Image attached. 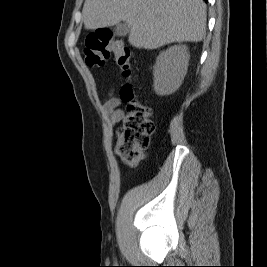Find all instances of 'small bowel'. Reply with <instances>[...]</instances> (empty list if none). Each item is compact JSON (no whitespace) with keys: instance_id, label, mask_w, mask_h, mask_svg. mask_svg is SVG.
<instances>
[{"instance_id":"small-bowel-1","label":"small bowel","mask_w":267,"mask_h":267,"mask_svg":"<svg viewBox=\"0 0 267 267\" xmlns=\"http://www.w3.org/2000/svg\"><path fill=\"white\" fill-rule=\"evenodd\" d=\"M120 104V99L114 95H110L103 103V111L110 125H115L124 117V111L119 107Z\"/></svg>"}]
</instances>
